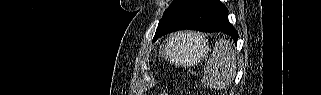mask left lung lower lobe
I'll use <instances>...</instances> for the list:
<instances>
[{"mask_svg":"<svg viewBox=\"0 0 321 95\" xmlns=\"http://www.w3.org/2000/svg\"><path fill=\"white\" fill-rule=\"evenodd\" d=\"M228 10L219 0H174L158 24L153 42L168 33L191 29L224 32L235 43L238 33L228 21Z\"/></svg>","mask_w":321,"mask_h":95,"instance_id":"0a47b994","label":"left lung lower lobe"}]
</instances>
